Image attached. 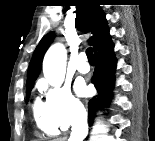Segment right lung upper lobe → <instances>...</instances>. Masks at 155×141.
Returning a JSON list of instances; mask_svg holds the SVG:
<instances>
[{
	"instance_id": "1",
	"label": "right lung upper lobe",
	"mask_w": 155,
	"mask_h": 141,
	"mask_svg": "<svg viewBox=\"0 0 155 141\" xmlns=\"http://www.w3.org/2000/svg\"><path fill=\"white\" fill-rule=\"evenodd\" d=\"M76 6V26L82 31L92 33L88 42L94 46L103 35L109 32L105 14L94 0H79ZM53 37V33L46 35L36 47L28 67L26 86L32 85L36 80L40 72L43 54Z\"/></svg>"
}]
</instances>
